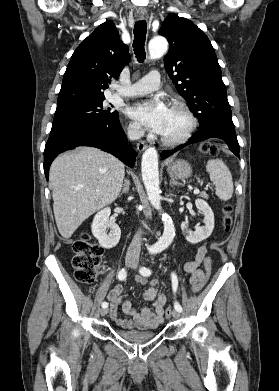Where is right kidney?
Masks as SVG:
<instances>
[{
    "mask_svg": "<svg viewBox=\"0 0 279 391\" xmlns=\"http://www.w3.org/2000/svg\"><path fill=\"white\" fill-rule=\"evenodd\" d=\"M109 207L99 211L93 219L91 229L93 236L98 240L101 247L110 249L115 247L121 236L120 227L110 219ZM107 229H110L108 232Z\"/></svg>",
    "mask_w": 279,
    "mask_h": 391,
    "instance_id": "ca27d5eb",
    "label": "right kidney"
}]
</instances>
